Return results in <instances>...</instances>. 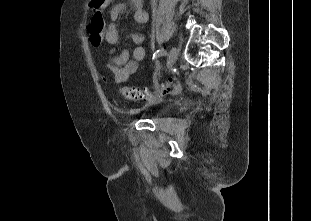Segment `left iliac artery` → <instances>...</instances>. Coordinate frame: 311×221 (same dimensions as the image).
I'll use <instances>...</instances> for the list:
<instances>
[{"mask_svg": "<svg viewBox=\"0 0 311 221\" xmlns=\"http://www.w3.org/2000/svg\"><path fill=\"white\" fill-rule=\"evenodd\" d=\"M166 54V51L164 48H161V49H158L154 54H153V57L152 59H155L159 56H162V55H165Z\"/></svg>", "mask_w": 311, "mask_h": 221, "instance_id": "obj_1", "label": "left iliac artery"}]
</instances>
